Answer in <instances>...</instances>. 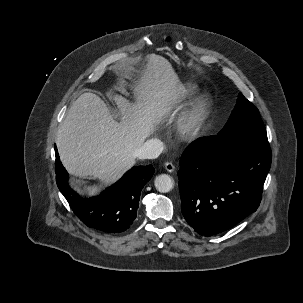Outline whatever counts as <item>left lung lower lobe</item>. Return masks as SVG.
Listing matches in <instances>:
<instances>
[{"instance_id": "left-lung-lower-lobe-1", "label": "left lung lower lobe", "mask_w": 303, "mask_h": 303, "mask_svg": "<svg viewBox=\"0 0 303 303\" xmlns=\"http://www.w3.org/2000/svg\"><path fill=\"white\" fill-rule=\"evenodd\" d=\"M180 166L182 214L197 233L208 237L257 210L271 149L238 135L202 137L184 151Z\"/></svg>"}]
</instances>
